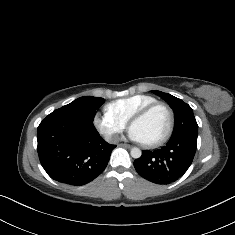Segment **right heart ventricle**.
Listing matches in <instances>:
<instances>
[{
  "label": "right heart ventricle",
  "mask_w": 235,
  "mask_h": 235,
  "mask_svg": "<svg viewBox=\"0 0 235 235\" xmlns=\"http://www.w3.org/2000/svg\"><path fill=\"white\" fill-rule=\"evenodd\" d=\"M158 100L148 94L138 93L119 98L110 104L113 112L125 120H130L145 107L157 103Z\"/></svg>",
  "instance_id": "e07e8e85"
}]
</instances>
